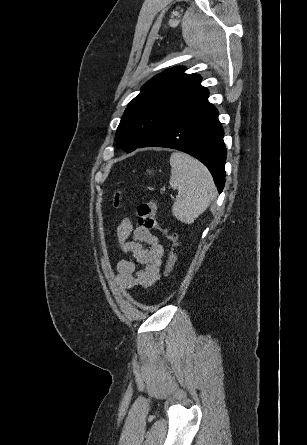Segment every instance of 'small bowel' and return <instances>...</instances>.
<instances>
[{
    "label": "small bowel",
    "instance_id": "obj_1",
    "mask_svg": "<svg viewBox=\"0 0 307 445\" xmlns=\"http://www.w3.org/2000/svg\"><path fill=\"white\" fill-rule=\"evenodd\" d=\"M136 217H140L137 209ZM133 234V240H129ZM118 248L133 259H122L116 263L118 284L125 290L135 286L147 288L160 277L164 248L149 229L133 228L131 218H124L117 228ZM142 266L141 269H137Z\"/></svg>",
    "mask_w": 307,
    "mask_h": 445
}]
</instances>
